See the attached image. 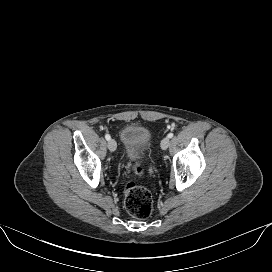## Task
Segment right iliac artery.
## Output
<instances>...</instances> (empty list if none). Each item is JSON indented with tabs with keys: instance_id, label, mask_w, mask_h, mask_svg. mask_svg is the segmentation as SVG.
<instances>
[{
	"instance_id": "1",
	"label": "right iliac artery",
	"mask_w": 272,
	"mask_h": 272,
	"mask_svg": "<svg viewBox=\"0 0 272 272\" xmlns=\"http://www.w3.org/2000/svg\"><path fill=\"white\" fill-rule=\"evenodd\" d=\"M105 138H106L107 141H109V140L111 139V137H110L109 134H106V135H105Z\"/></svg>"
}]
</instances>
